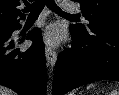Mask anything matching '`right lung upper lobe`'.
I'll return each instance as SVG.
<instances>
[{"label": "right lung upper lobe", "instance_id": "obj_1", "mask_svg": "<svg viewBox=\"0 0 119 95\" xmlns=\"http://www.w3.org/2000/svg\"><path fill=\"white\" fill-rule=\"evenodd\" d=\"M21 0H0V28L15 27L25 14L19 9ZM26 2V0H23Z\"/></svg>", "mask_w": 119, "mask_h": 95}]
</instances>
